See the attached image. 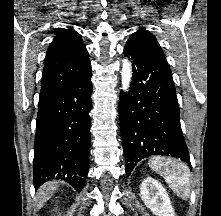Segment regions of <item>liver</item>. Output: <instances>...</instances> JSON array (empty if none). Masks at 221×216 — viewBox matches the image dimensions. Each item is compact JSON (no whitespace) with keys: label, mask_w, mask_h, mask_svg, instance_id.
I'll return each instance as SVG.
<instances>
[{"label":"liver","mask_w":221,"mask_h":216,"mask_svg":"<svg viewBox=\"0 0 221 216\" xmlns=\"http://www.w3.org/2000/svg\"><path fill=\"white\" fill-rule=\"evenodd\" d=\"M58 181H49L42 185L37 192V207L40 209L52 197L54 192L58 189Z\"/></svg>","instance_id":"1"}]
</instances>
